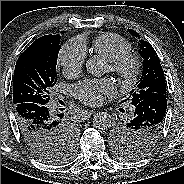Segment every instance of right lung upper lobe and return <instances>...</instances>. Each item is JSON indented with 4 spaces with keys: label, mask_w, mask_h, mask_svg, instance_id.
<instances>
[{
    "label": "right lung upper lobe",
    "mask_w": 184,
    "mask_h": 184,
    "mask_svg": "<svg viewBox=\"0 0 184 184\" xmlns=\"http://www.w3.org/2000/svg\"><path fill=\"white\" fill-rule=\"evenodd\" d=\"M53 35H45V36H42L38 39H36L31 45L30 47H35V46H46L50 40V38L52 37Z\"/></svg>",
    "instance_id": "cb5924a9"
}]
</instances>
